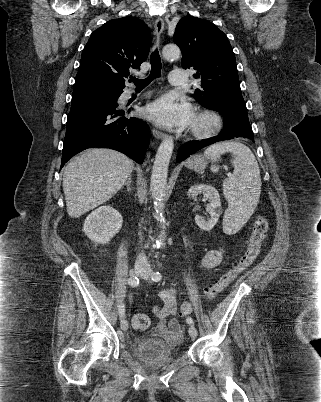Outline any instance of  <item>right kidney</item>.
<instances>
[{"mask_svg":"<svg viewBox=\"0 0 321 402\" xmlns=\"http://www.w3.org/2000/svg\"><path fill=\"white\" fill-rule=\"evenodd\" d=\"M123 223L121 214L109 205L91 212L83 226V231L95 244H106L117 234Z\"/></svg>","mask_w":321,"mask_h":402,"instance_id":"ca27d5eb","label":"right kidney"}]
</instances>
